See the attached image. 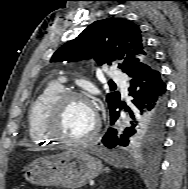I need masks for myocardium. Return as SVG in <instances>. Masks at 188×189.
<instances>
[{
	"label": "myocardium",
	"mask_w": 188,
	"mask_h": 189,
	"mask_svg": "<svg viewBox=\"0 0 188 189\" xmlns=\"http://www.w3.org/2000/svg\"><path fill=\"white\" fill-rule=\"evenodd\" d=\"M74 100L86 102L94 111L95 123L89 134L82 138H69L61 134L58 130L59 120L65 105ZM100 130V118L94 108L91 99L78 91L63 90L49 104L44 115V131L53 140L59 141L68 145H83L92 142L98 135Z\"/></svg>",
	"instance_id": "obj_1"
}]
</instances>
